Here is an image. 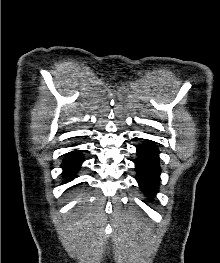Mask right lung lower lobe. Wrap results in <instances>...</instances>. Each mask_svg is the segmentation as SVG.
<instances>
[{
    "mask_svg": "<svg viewBox=\"0 0 220 263\" xmlns=\"http://www.w3.org/2000/svg\"><path fill=\"white\" fill-rule=\"evenodd\" d=\"M80 153V150L69 152L61 164V167L63 168V176L67 179L66 182L73 179V175L77 172L83 162Z\"/></svg>",
    "mask_w": 220,
    "mask_h": 263,
    "instance_id": "1",
    "label": "right lung lower lobe"
}]
</instances>
